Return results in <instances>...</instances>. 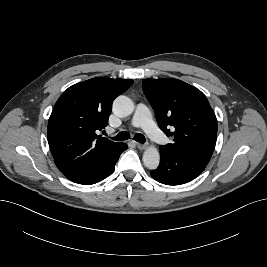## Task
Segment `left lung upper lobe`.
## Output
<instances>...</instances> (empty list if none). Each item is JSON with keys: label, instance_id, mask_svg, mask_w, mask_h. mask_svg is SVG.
I'll use <instances>...</instances> for the list:
<instances>
[{"label": "left lung upper lobe", "instance_id": "1", "mask_svg": "<svg viewBox=\"0 0 267 267\" xmlns=\"http://www.w3.org/2000/svg\"><path fill=\"white\" fill-rule=\"evenodd\" d=\"M143 91L160 129L173 137V143L160 148L209 161L216 144L217 119L205 95L172 78L143 79Z\"/></svg>", "mask_w": 267, "mask_h": 267}]
</instances>
